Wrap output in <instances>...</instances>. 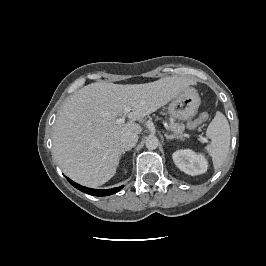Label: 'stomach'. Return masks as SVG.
<instances>
[{"label": "stomach", "instance_id": "1", "mask_svg": "<svg viewBox=\"0 0 266 266\" xmlns=\"http://www.w3.org/2000/svg\"><path fill=\"white\" fill-rule=\"evenodd\" d=\"M201 103L197 91L192 87H187L178 94L168 107L169 114L178 120H187L196 115Z\"/></svg>", "mask_w": 266, "mask_h": 266}]
</instances>
